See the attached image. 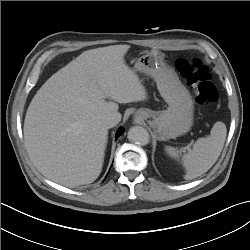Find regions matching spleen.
I'll use <instances>...</instances> for the list:
<instances>
[{"instance_id": "1", "label": "spleen", "mask_w": 250, "mask_h": 250, "mask_svg": "<svg viewBox=\"0 0 250 250\" xmlns=\"http://www.w3.org/2000/svg\"><path fill=\"white\" fill-rule=\"evenodd\" d=\"M227 129L223 122H216L207 137L199 138L192 150L182 155L181 161L186 170L185 179H194L206 173L218 160L226 139ZM166 152L173 158H179L176 148L166 147Z\"/></svg>"}]
</instances>
